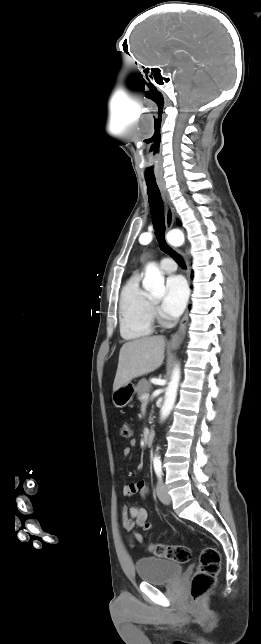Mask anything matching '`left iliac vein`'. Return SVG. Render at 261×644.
<instances>
[{"label": "left iliac vein", "mask_w": 261, "mask_h": 644, "mask_svg": "<svg viewBox=\"0 0 261 644\" xmlns=\"http://www.w3.org/2000/svg\"><path fill=\"white\" fill-rule=\"evenodd\" d=\"M157 496L163 504L168 505L171 503V497L168 493V490L161 480H159L157 484Z\"/></svg>", "instance_id": "obj_1"}]
</instances>
